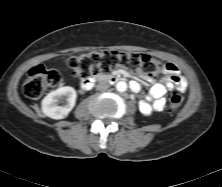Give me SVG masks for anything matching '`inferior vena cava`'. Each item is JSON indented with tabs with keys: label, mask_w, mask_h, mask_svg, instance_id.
Returning <instances> with one entry per match:
<instances>
[{
	"label": "inferior vena cava",
	"mask_w": 222,
	"mask_h": 187,
	"mask_svg": "<svg viewBox=\"0 0 222 187\" xmlns=\"http://www.w3.org/2000/svg\"><path fill=\"white\" fill-rule=\"evenodd\" d=\"M96 88L98 91H105L109 88V84L106 81H100Z\"/></svg>",
	"instance_id": "602c4592"
}]
</instances>
